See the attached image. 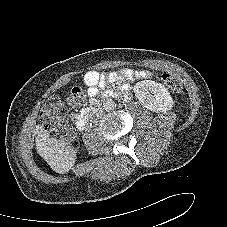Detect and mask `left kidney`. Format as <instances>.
<instances>
[{"label": "left kidney", "mask_w": 227, "mask_h": 227, "mask_svg": "<svg viewBox=\"0 0 227 227\" xmlns=\"http://www.w3.org/2000/svg\"><path fill=\"white\" fill-rule=\"evenodd\" d=\"M133 90L142 106L151 111L164 112L173 107V99L161 83L144 80L136 83Z\"/></svg>", "instance_id": "left-kidney-1"}]
</instances>
